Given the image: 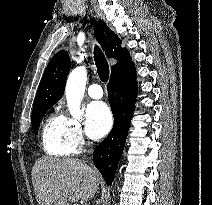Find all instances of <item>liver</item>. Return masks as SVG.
<instances>
[{
  "label": "liver",
  "instance_id": "liver-1",
  "mask_svg": "<svg viewBox=\"0 0 212 205\" xmlns=\"http://www.w3.org/2000/svg\"><path fill=\"white\" fill-rule=\"evenodd\" d=\"M38 205L90 200L99 185L97 172L74 158H39L32 169Z\"/></svg>",
  "mask_w": 212,
  "mask_h": 205
}]
</instances>
